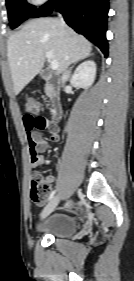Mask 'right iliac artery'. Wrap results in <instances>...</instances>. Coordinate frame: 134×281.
I'll list each match as a JSON object with an SVG mask.
<instances>
[{
  "label": "right iliac artery",
  "mask_w": 134,
  "mask_h": 281,
  "mask_svg": "<svg viewBox=\"0 0 134 281\" xmlns=\"http://www.w3.org/2000/svg\"><path fill=\"white\" fill-rule=\"evenodd\" d=\"M55 192H56V190H53V191L51 192V194H50L48 200H51V199L54 197Z\"/></svg>",
  "instance_id": "obj_1"
}]
</instances>
